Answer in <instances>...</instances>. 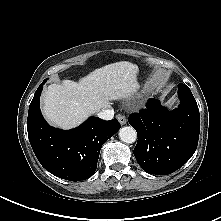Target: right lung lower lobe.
<instances>
[{
  "label": "right lung lower lobe",
  "mask_w": 221,
  "mask_h": 221,
  "mask_svg": "<svg viewBox=\"0 0 221 221\" xmlns=\"http://www.w3.org/2000/svg\"><path fill=\"white\" fill-rule=\"evenodd\" d=\"M45 81L29 106L27 130L32 149L41 165L53 175L69 181L85 180L97 168L103 143L120 129V124L116 119L104 121L90 117L68 131L49 126L39 108Z\"/></svg>",
  "instance_id": "obj_1"
}]
</instances>
